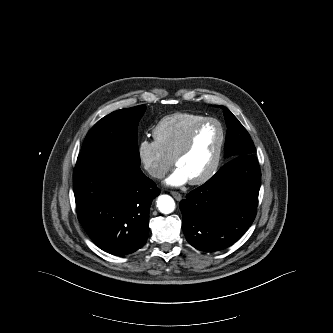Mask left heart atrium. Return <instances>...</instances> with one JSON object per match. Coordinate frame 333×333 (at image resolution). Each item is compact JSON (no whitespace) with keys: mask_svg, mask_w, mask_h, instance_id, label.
<instances>
[{"mask_svg":"<svg viewBox=\"0 0 333 333\" xmlns=\"http://www.w3.org/2000/svg\"><path fill=\"white\" fill-rule=\"evenodd\" d=\"M188 182H189V179H188L187 175L184 173V171L181 168L177 167L171 173V175L166 179L165 183L168 186L177 187V186H182Z\"/></svg>","mask_w":333,"mask_h":333,"instance_id":"obj_1","label":"left heart atrium"}]
</instances>
